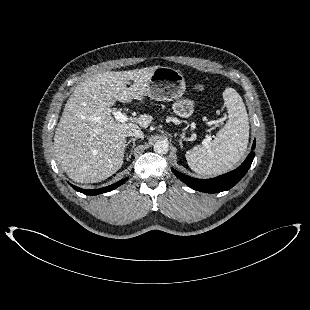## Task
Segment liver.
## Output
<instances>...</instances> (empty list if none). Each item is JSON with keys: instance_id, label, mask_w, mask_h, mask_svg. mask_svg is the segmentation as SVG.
Here are the masks:
<instances>
[{"instance_id": "obj_1", "label": "liver", "mask_w": 310, "mask_h": 310, "mask_svg": "<svg viewBox=\"0 0 310 310\" xmlns=\"http://www.w3.org/2000/svg\"><path fill=\"white\" fill-rule=\"evenodd\" d=\"M157 67L97 73L75 88L54 136L55 156L69 178L96 183L121 168L127 132L139 126L146 129L153 118L143 114L135 121L119 122L108 108L116 101L142 100Z\"/></svg>"}]
</instances>
